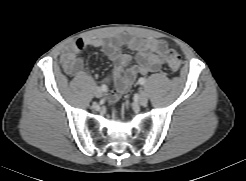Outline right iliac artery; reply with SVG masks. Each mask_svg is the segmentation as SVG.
Returning a JSON list of instances; mask_svg holds the SVG:
<instances>
[{
    "label": "right iliac artery",
    "mask_w": 246,
    "mask_h": 181,
    "mask_svg": "<svg viewBox=\"0 0 246 181\" xmlns=\"http://www.w3.org/2000/svg\"><path fill=\"white\" fill-rule=\"evenodd\" d=\"M100 89L104 92V91L107 90V87H106L105 85H102V86L100 87Z\"/></svg>",
    "instance_id": "obj_1"
}]
</instances>
